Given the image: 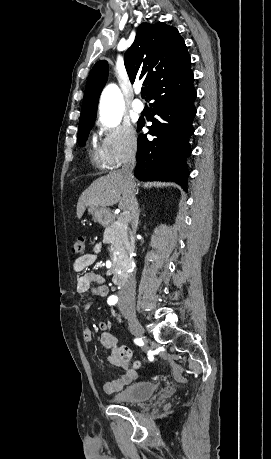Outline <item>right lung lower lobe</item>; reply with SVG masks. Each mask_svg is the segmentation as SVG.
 Returning a JSON list of instances; mask_svg holds the SVG:
<instances>
[{
    "mask_svg": "<svg viewBox=\"0 0 271 459\" xmlns=\"http://www.w3.org/2000/svg\"><path fill=\"white\" fill-rule=\"evenodd\" d=\"M192 71L181 76H172L152 92L148 100L153 115L148 139L140 134L137 143V165L135 176L143 181H169L187 187L188 166L186 158L191 154L189 137L194 133L192 126L196 115L194 101L196 90L193 86ZM145 125L138 121V130Z\"/></svg>",
    "mask_w": 271,
    "mask_h": 459,
    "instance_id": "98d812e1",
    "label": "right lung lower lobe"
}]
</instances>
